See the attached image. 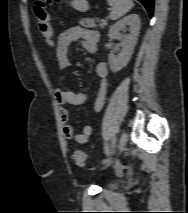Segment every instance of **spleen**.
<instances>
[{
	"label": "spleen",
	"instance_id": "3e777b00",
	"mask_svg": "<svg viewBox=\"0 0 188 213\" xmlns=\"http://www.w3.org/2000/svg\"><path fill=\"white\" fill-rule=\"evenodd\" d=\"M107 2L112 7L109 14L112 20L119 19L134 6L132 0H107Z\"/></svg>",
	"mask_w": 188,
	"mask_h": 213
}]
</instances>
